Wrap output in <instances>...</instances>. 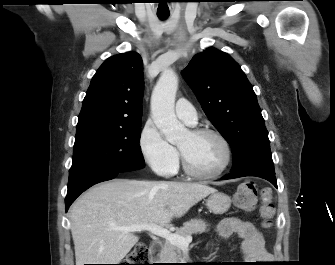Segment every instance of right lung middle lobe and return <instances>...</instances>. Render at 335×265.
I'll return each mask as SVG.
<instances>
[{"instance_id": "1", "label": "right lung middle lobe", "mask_w": 335, "mask_h": 265, "mask_svg": "<svg viewBox=\"0 0 335 265\" xmlns=\"http://www.w3.org/2000/svg\"><path fill=\"white\" fill-rule=\"evenodd\" d=\"M140 135L141 121L117 127L77 130L69 181L97 169L124 172L143 168Z\"/></svg>"}]
</instances>
